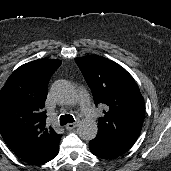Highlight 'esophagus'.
<instances>
[{"instance_id":"esophagus-1","label":"esophagus","mask_w":171,"mask_h":171,"mask_svg":"<svg viewBox=\"0 0 171 171\" xmlns=\"http://www.w3.org/2000/svg\"><path fill=\"white\" fill-rule=\"evenodd\" d=\"M77 125H78V122L68 123V124L65 126V128H66L67 130H72V129H74Z\"/></svg>"}]
</instances>
